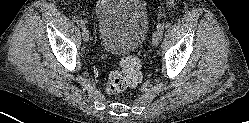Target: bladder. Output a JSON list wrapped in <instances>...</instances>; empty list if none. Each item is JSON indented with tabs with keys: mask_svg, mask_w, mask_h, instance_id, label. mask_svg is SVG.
<instances>
[{
	"mask_svg": "<svg viewBox=\"0 0 249 123\" xmlns=\"http://www.w3.org/2000/svg\"><path fill=\"white\" fill-rule=\"evenodd\" d=\"M95 17L100 45L113 55L136 50L149 30L144 0H98Z\"/></svg>",
	"mask_w": 249,
	"mask_h": 123,
	"instance_id": "1",
	"label": "bladder"
}]
</instances>
